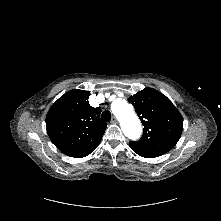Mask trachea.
I'll return each mask as SVG.
<instances>
[{"label": "trachea", "mask_w": 221, "mask_h": 221, "mask_svg": "<svg viewBox=\"0 0 221 221\" xmlns=\"http://www.w3.org/2000/svg\"><path fill=\"white\" fill-rule=\"evenodd\" d=\"M101 118L103 119V121L105 122H109L111 120V113L110 111L106 110L102 113Z\"/></svg>", "instance_id": "1"}]
</instances>
